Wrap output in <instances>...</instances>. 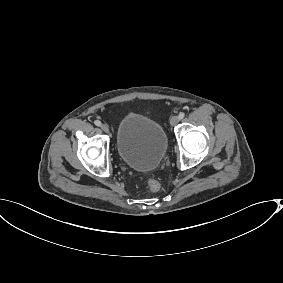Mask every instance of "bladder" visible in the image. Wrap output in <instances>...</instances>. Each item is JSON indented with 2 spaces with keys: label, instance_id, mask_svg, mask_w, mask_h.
Listing matches in <instances>:
<instances>
[{
  "label": "bladder",
  "instance_id": "31cf9c89",
  "mask_svg": "<svg viewBox=\"0 0 283 283\" xmlns=\"http://www.w3.org/2000/svg\"><path fill=\"white\" fill-rule=\"evenodd\" d=\"M169 144L163 126L137 112L125 115L116 130L115 147L119 158L133 169L149 171L161 163Z\"/></svg>",
  "mask_w": 283,
  "mask_h": 283
}]
</instances>
